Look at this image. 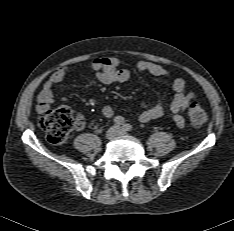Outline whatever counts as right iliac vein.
<instances>
[{
	"instance_id": "obj_1",
	"label": "right iliac vein",
	"mask_w": 234,
	"mask_h": 231,
	"mask_svg": "<svg viewBox=\"0 0 234 231\" xmlns=\"http://www.w3.org/2000/svg\"><path fill=\"white\" fill-rule=\"evenodd\" d=\"M119 132H120L119 128L117 126H113L109 128L108 131L106 132V138L112 140L119 135Z\"/></svg>"
}]
</instances>
